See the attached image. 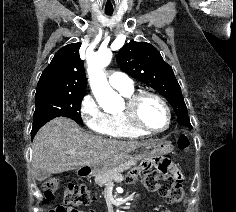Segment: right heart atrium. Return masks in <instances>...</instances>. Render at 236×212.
I'll return each instance as SVG.
<instances>
[{
    "mask_svg": "<svg viewBox=\"0 0 236 212\" xmlns=\"http://www.w3.org/2000/svg\"><path fill=\"white\" fill-rule=\"evenodd\" d=\"M80 116L83 122L94 132L104 134L107 115L100 109L92 95H85L80 104Z\"/></svg>",
    "mask_w": 236,
    "mask_h": 212,
    "instance_id": "right-heart-atrium-1",
    "label": "right heart atrium"
}]
</instances>
